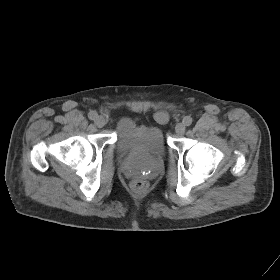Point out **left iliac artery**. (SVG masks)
<instances>
[{
	"label": "left iliac artery",
	"mask_w": 280,
	"mask_h": 280,
	"mask_svg": "<svg viewBox=\"0 0 280 280\" xmlns=\"http://www.w3.org/2000/svg\"><path fill=\"white\" fill-rule=\"evenodd\" d=\"M183 124L186 126H190L192 124V118L190 116H186L183 118Z\"/></svg>",
	"instance_id": "44dca946"
}]
</instances>
